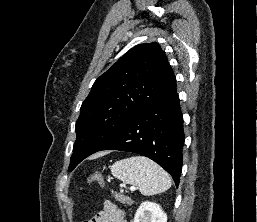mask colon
I'll list each match as a JSON object with an SVG mask.
<instances>
[{"instance_id": "obj_1", "label": "colon", "mask_w": 257, "mask_h": 222, "mask_svg": "<svg viewBox=\"0 0 257 222\" xmlns=\"http://www.w3.org/2000/svg\"><path fill=\"white\" fill-rule=\"evenodd\" d=\"M90 179L98 181L101 185L106 184L103 176L99 172H94L90 176ZM114 195L121 203H128L129 202V198L126 195H124L120 192H114Z\"/></svg>"}]
</instances>
